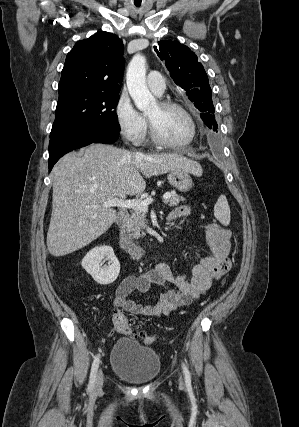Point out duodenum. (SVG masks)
<instances>
[{"label":"duodenum","mask_w":299,"mask_h":427,"mask_svg":"<svg viewBox=\"0 0 299 427\" xmlns=\"http://www.w3.org/2000/svg\"><path fill=\"white\" fill-rule=\"evenodd\" d=\"M128 220V213L126 211H120L117 215L115 222V240L117 245L130 257L139 259L145 255V249L130 240L123 231V226ZM170 221V220H169Z\"/></svg>","instance_id":"1"}]
</instances>
